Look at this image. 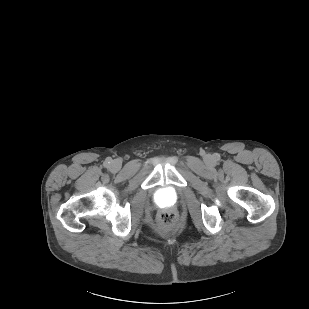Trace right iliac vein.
I'll list each match as a JSON object with an SVG mask.
<instances>
[{"instance_id":"obj_1","label":"right iliac vein","mask_w":309,"mask_h":309,"mask_svg":"<svg viewBox=\"0 0 309 309\" xmlns=\"http://www.w3.org/2000/svg\"><path fill=\"white\" fill-rule=\"evenodd\" d=\"M121 168V162L119 160H114L112 161V163L110 164V169L114 172L119 171Z\"/></svg>"}]
</instances>
